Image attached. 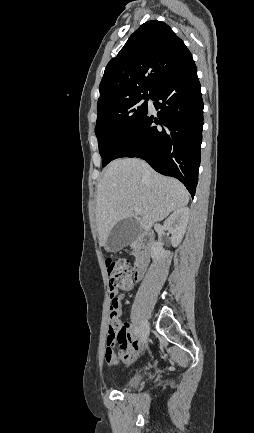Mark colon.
Here are the masks:
<instances>
[{"mask_svg":"<svg viewBox=\"0 0 254 433\" xmlns=\"http://www.w3.org/2000/svg\"><path fill=\"white\" fill-rule=\"evenodd\" d=\"M106 269L109 277L110 284V297H111V312H110V326L108 336V349L107 352H112V345L117 341L120 336L121 326L118 320L119 317V302L114 291L116 289L130 290L132 288V267L125 259L109 258L106 260Z\"/></svg>","mask_w":254,"mask_h":433,"instance_id":"5ec220e1","label":"colon"}]
</instances>
